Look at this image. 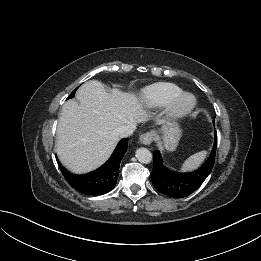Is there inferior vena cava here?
I'll return each instance as SVG.
<instances>
[{"label": "inferior vena cava", "instance_id": "obj_1", "mask_svg": "<svg viewBox=\"0 0 261 261\" xmlns=\"http://www.w3.org/2000/svg\"><path fill=\"white\" fill-rule=\"evenodd\" d=\"M136 126V122H129L128 124L123 125L118 131L119 136L123 138L132 135L136 129Z\"/></svg>", "mask_w": 261, "mask_h": 261}]
</instances>
